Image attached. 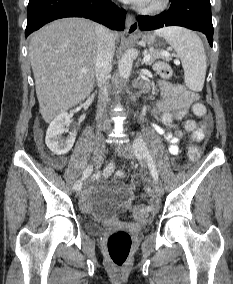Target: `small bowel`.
<instances>
[{
  "mask_svg": "<svg viewBox=\"0 0 233 284\" xmlns=\"http://www.w3.org/2000/svg\"><path fill=\"white\" fill-rule=\"evenodd\" d=\"M160 89L164 99L159 104V109L162 111L170 110L177 119L182 118L198 98L197 94L186 90L182 85L178 84L162 82L160 83ZM210 127L211 119L206 115L202 118L198 127L195 123V128L191 131L193 139L195 141H201L209 132ZM154 129L157 133L163 135L168 142L169 152L172 155H176L179 152L178 141L181 137V133L179 131L168 132L163 127L156 124L154 125ZM50 163L55 168H61L63 167L65 160L62 158H54L50 160ZM88 204L89 202H84L85 206H88Z\"/></svg>",
  "mask_w": 233,
  "mask_h": 284,
  "instance_id": "1",
  "label": "small bowel"
}]
</instances>
